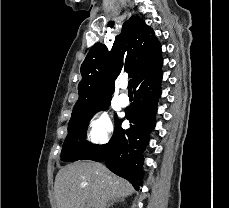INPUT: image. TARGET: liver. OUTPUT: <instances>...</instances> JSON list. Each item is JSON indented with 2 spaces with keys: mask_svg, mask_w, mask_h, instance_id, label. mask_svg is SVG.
Instances as JSON below:
<instances>
[{
  "mask_svg": "<svg viewBox=\"0 0 229 208\" xmlns=\"http://www.w3.org/2000/svg\"><path fill=\"white\" fill-rule=\"evenodd\" d=\"M54 190L57 208H105L108 200H120L134 192L129 182L90 160L59 170Z\"/></svg>",
  "mask_w": 229,
  "mask_h": 208,
  "instance_id": "6515ba94",
  "label": "liver"
}]
</instances>
